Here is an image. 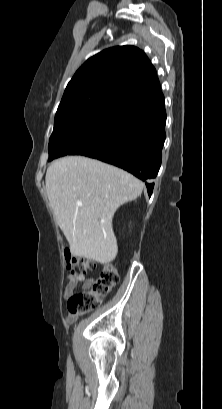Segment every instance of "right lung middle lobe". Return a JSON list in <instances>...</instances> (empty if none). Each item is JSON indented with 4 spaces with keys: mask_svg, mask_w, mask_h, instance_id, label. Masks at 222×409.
<instances>
[{
    "mask_svg": "<svg viewBox=\"0 0 222 409\" xmlns=\"http://www.w3.org/2000/svg\"><path fill=\"white\" fill-rule=\"evenodd\" d=\"M122 106L97 103L57 111L49 139V160L65 155H87L104 140L112 119Z\"/></svg>",
    "mask_w": 222,
    "mask_h": 409,
    "instance_id": "right-lung-middle-lobe-1",
    "label": "right lung middle lobe"
}]
</instances>
